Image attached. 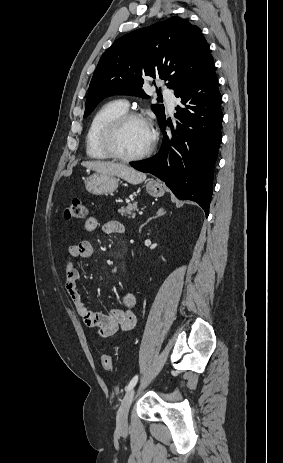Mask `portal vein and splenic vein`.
I'll return each instance as SVG.
<instances>
[{"label":"portal vein and splenic vein","mask_w":283,"mask_h":463,"mask_svg":"<svg viewBox=\"0 0 283 463\" xmlns=\"http://www.w3.org/2000/svg\"><path fill=\"white\" fill-rule=\"evenodd\" d=\"M139 214H140V215H142V214H143V212H140Z\"/></svg>","instance_id":"portal-vein-and-splenic-vein-1"}]
</instances>
